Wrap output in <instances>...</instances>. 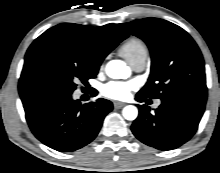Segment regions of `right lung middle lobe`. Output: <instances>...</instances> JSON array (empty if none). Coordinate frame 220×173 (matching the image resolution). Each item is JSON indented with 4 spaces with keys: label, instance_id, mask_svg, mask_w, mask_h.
I'll return each instance as SVG.
<instances>
[{
    "label": "right lung middle lobe",
    "instance_id": "1",
    "mask_svg": "<svg viewBox=\"0 0 220 173\" xmlns=\"http://www.w3.org/2000/svg\"><path fill=\"white\" fill-rule=\"evenodd\" d=\"M99 68L77 62L76 60L60 56L49 62L42 73V90L72 93L76 89V82L86 84L88 79L95 78Z\"/></svg>",
    "mask_w": 220,
    "mask_h": 173
}]
</instances>
